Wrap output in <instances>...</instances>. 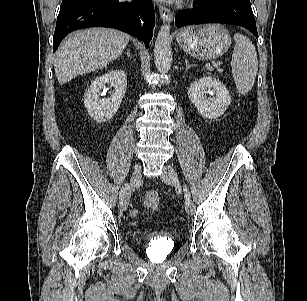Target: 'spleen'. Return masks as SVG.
Masks as SVG:
<instances>
[{"label": "spleen", "mask_w": 307, "mask_h": 301, "mask_svg": "<svg viewBox=\"0 0 307 301\" xmlns=\"http://www.w3.org/2000/svg\"><path fill=\"white\" fill-rule=\"evenodd\" d=\"M235 47L231 67L234 82L240 94L248 93L254 84L258 70L257 53L253 43L241 33L234 34Z\"/></svg>", "instance_id": "spleen-1"}]
</instances>
